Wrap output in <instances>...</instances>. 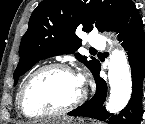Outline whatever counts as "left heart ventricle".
<instances>
[{
	"mask_svg": "<svg viewBox=\"0 0 145 124\" xmlns=\"http://www.w3.org/2000/svg\"><path fill=\"white\" fill-rule=\"evenodd\" d=\"M81 91L82 85L76 76L58 69L48 70L30 86L26 108L30 113L57 110L76 100Z\"/></svg>",
	"mask_w": 145,
	"mask_h": 124,
	"instance_id": "1",
	"label": "left heart ventricle"
}]
</instances>
